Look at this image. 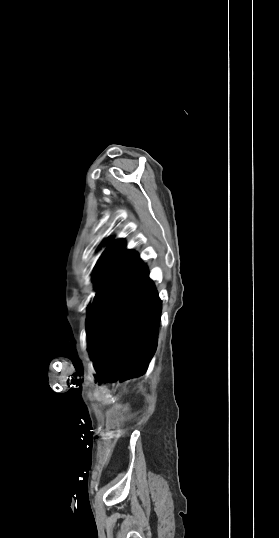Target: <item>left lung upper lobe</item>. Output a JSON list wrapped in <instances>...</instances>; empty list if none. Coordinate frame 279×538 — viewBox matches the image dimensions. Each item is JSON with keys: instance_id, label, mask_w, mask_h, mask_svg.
Listing matches in <instances>:
<instances>
[{"instance_id": "5c2ea615", "label": "left lung upper lobe", "mask_w": 279, "mask_h": 538, "mask_svg": "<svg viewBox=\"0 0 279 538\" xmlns=\"http://www.w3.org/2000/svg\"><path fill=\"white\" fill-rule=\"evenodd\" d=\"M108 243V241L106 242ZM135 252L125 249V241L119 240L109 244L103 252L95 269V287L97 292L112 276L134 255Z\"/></svg>"}]
</instances>
